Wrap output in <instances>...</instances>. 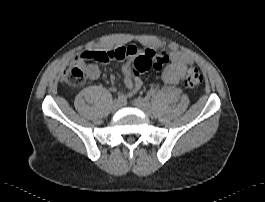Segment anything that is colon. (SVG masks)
<instances>
[{
    "instance_id": "5ec220e1",
    "label": "colon",
    "mask_w": 265,
    "mask_h": 202,
    "mask_svg": "<svg viewBox=\"0 0 265 202\" xmlns=\"http://www.w3.org/2000/svg\"><path fill=\"white\" fill-rule=\"evenodd\" d=\"M84 61L96 60L98 62H110L115 60H123L126 54L120 50H109L104 53L94 51H84L81 53ZM169 61V55L166 52L147 51L142 56H137L131 65L133 74L140 75L152 68H162ZM85 73L81 65L68 67L63 76L62 82L72 87H79L85 83ZM203 81L202 74L194 65L187 67L184 85L186 88L194 90L198 88Z\"/></svg>"
}]
</instances>
